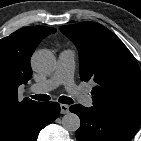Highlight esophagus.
<instances>
[{
  "label": "esophagus",
  "instance_id": "1",
  "mask_svg": "<svg viewBox=\"0 0 141 141\" xmlns=\"http://www.w3.org/2000/svg\"><path fill=\"white\" fill-rule=\"evenodd\" d=\"M60 112L61 114H66L69 112V106L66 104H61L60 105Z\"/></svg>",
  "mask_w": 141,
  "mask_h": 141
}]
</instances>
